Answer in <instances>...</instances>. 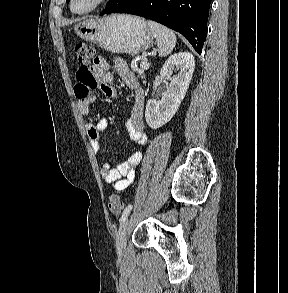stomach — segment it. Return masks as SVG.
<instances>
[{
	"instance_id": "stomach-1",
	"label": "stomach",
	"mask_w": 288,
	"mask_h": 293,
	"mask_svg": "<svg viewBox=\"0 0 288 293\" xmlns=\"http://www.w3.org/2000/svg\"><path fill=\"white\" fill-rule=\"evenodd\" d=\"M76 34L113 53L136 55L153 44L154 35L143 18L114 14L75 25Z\"/></svg>"
}]
</instances>
